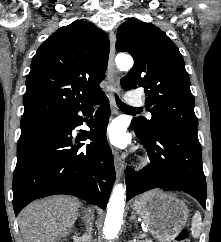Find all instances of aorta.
<instances>
[{"label":"aorta","instance_id":"aorta-1","mask_svg":"<svg viewBox=\"0 0 221 242\" xmlns=\"http://www.w3.org/2000/svg\"><path fill=\"white\" fill-rule=\"evenodd\" d=\"M115 63L120 71H128L133 66V59L127 55H118ZM125 193L126 188L122 184L114 186L103 228V234L108 240L116 238L120 231L125 207Z\"/></svg>","mask_w":221,"mask_h":242}]
</instances>
